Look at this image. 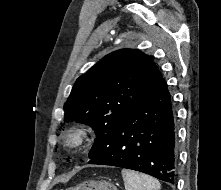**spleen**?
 Wrapping results in <instances>:
<instances>
[{
    "label": "spleen",
    "instance_id": "obj_1",
    "mask_svg": "<svg viewBox=\"0 0 221 190\" xmlns=\"http://www.w3.org/2000/svg\"><path fill=\"white\" fill-rule=\"evenodd\" d=\"M121 174L125 190H160L159 181L149 175L129 169H123Z\"/></svg>",
    "mask_w": 221,
    "mask_h": 190
}]
</instances>
